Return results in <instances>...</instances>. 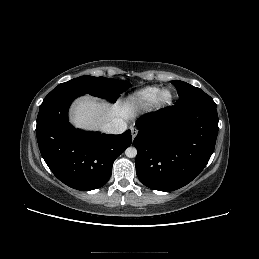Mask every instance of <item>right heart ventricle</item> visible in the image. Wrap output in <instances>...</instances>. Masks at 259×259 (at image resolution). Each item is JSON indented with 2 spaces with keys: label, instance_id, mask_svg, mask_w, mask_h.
<instances>
[{
  "label": "right heart ventricle",
  "instance_id": "1",
  "mask_svg": "<svg viewBox=\"0 0 259 259\" xmlns=\"http://www.w3.org/2000/svg\"><path fill=\"white\" fill-rule=\"evenodd\" d=\"M160 88L157 86H147L136 92L129 97V103L136 108L145 109L151 106L156 99Z\"/></svg>",
  "mask_w": 259,
  "mask_h": 259
}]
</instances>
